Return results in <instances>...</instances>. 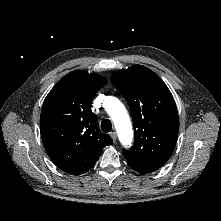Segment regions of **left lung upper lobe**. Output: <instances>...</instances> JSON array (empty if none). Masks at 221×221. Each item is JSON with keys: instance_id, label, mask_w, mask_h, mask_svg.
<instances>
[{"instance_id": "obj_1", "label": "left lung upper lobe", "mask_w": 221, "mask_h": 221, "mask_svg": "<svg viewBox=\"0 0 221 221\" xmlns=\"http://www.w3.org/2000/svg\"><path fill=\"white\" fill-rule=\"evenodd\" d=\"M111 83L127 100L133 120L134 145L123 155L129 164L155 171L176 145L179 118L174 98L161 78L142 65L118 71Z\"/></svg>"}]
</instances>
